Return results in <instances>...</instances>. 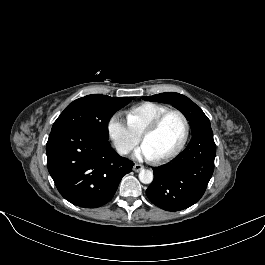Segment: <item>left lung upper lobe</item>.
<instances>
[{
    "label": "left lung upper lobe",
    "mask_w": 265,
    "mask_h": 265,
    "mask_svg": "<svg viewBox=\"0 0 265 265\" xmlns=\"http://www.w3.org/2000/svg\"><path fill=\"white\" fill-rule=\"evenodd\" d=\"M142 98L146 101L172 104L189 120L192 133L204 126H210V121L204 112L193 101L182 94L167 92Z\"/></svg>",
    "instance_id": "left-lung-upper-lobe-1"
}]
</instances>
